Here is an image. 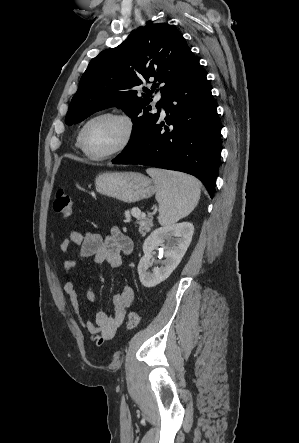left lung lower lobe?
Wrapping results in <instances>:
<instances>
[{
	"mask_svg": "<svg viewBox=\"0 0 299 443\" xmlns=\"http://www.w3.org/2000/svg\"><path fill=\"white\" fill-rule=\"evenodd\" d=\"M159 117L114 164H141L197 177L211 197L220 160V125L206 74L197 63L167 93ZM165 130V131H164Z\"/></svg>",
	"mask_w": 299,
	"mask_h": 443,
	"instance_id": "0a47b994",
	"label": "left lung lower lobe"
}]
</instances>
